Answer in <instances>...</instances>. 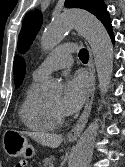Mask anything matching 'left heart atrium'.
Returning a JSON list of instances; mask_svg holds the SVG:
<instances>
[{"mask_svg":"<svg viewBox=\"0 0 125 167\" xmlns=\"http://www.w3.org/2000/svg\"><path fill=\"white\" fill-rule=\"evenodd\" d=\"M88 82L82 74L68 76L65 80L60 110L67 115L76 113L83 105Z\"/></svg>","mask_w":125,"mask_h":167,"instance_id":"1","label":"left heart atrium"}]
</instances>
